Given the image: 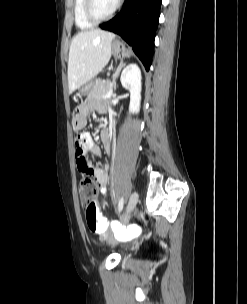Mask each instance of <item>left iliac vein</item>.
<instances>
[{
    "label": "left iliac vein",
    "mask_w": 247,
    "mask_h": 304,
    "mask_svg": "<svg viewBox=\"0 0 247 304\" xmlns=\"http://www.w3.org/2000/svg\"><path fill=\"white\" fill-rule=\"evenodd\" d=\"M137 202H138V193L136 191H134L129 198L126 211L122 218L123 222L126 223L129 221L131 213L134 210V208L136 207Z\"/></svg>",
    "instance_id": "obj_1"
}]
</instances>
